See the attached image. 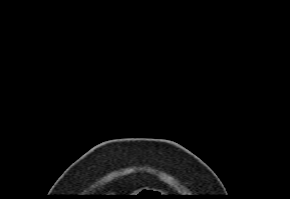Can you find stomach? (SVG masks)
Instances as JSON below:
<instances>
[{"instance_id":"0dacf381","label":"stomach","mask_w":290,"mask_h":199,"mask_svg":"<svg viewBox=\"0 0 290 199\" xmlns=\"http://www.w3.org/2000/svg\"><path fill=\"white\" fill-rule=\"evenodd\" d=\"M149 190H151V189H147V191H149ZM153 192H156L157 190H152ZM137 195V194H136ZM161 195H163V194H161Z\"/></svg>"}]
</instances>
